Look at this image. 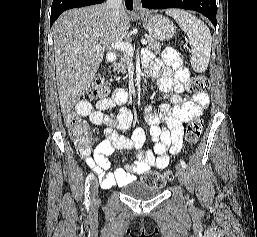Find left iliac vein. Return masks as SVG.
I'll use <instances>...</instances> for the list:
<instances>
[{
	"mask_svg": "<svg viewBox=\"0 0 257 237\" xmlns=\"http://www.w3.org/2000/svg\"><path fill=\"white\" fill-rule=\"evenodd\" d=\"M176 174L182 185H185L187 182V173L181 165L176 166Z\"/></svg>",
	"mask_w": 257,
	"mask_h": 237,
	"instance_id": "left-iliac-vein-1",
	"label": "left iliac vein"
}]
</instances>
